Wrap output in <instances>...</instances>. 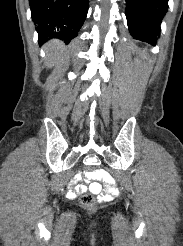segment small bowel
<instances>
[{
    "mask_svg": "<svg viewBox=\"0 0 183 246\" xmlns=\"http://www.w3.org/2000/svg\"><path fill=\"white\" fill-rule=\"evenodd\" d=\"M85 183H91L90 185L78 184L76 182L79 179H83V174H74L72 184L68 185L70 190L67 193V198H78V195L83 194L87 191H90L94 194L102 195L104 198H119V193L116 187L113 185L115 182L116 176L110 175V170H92L86 175ZM94 179H101V182H104V186L99 183H94ZM74 185V187H73Z\"/></svg>",
    "mask_w": 183,
    "mask_h": 246,
    "instance_id": "c3829d8e",
    "label": "small bowel"
}]
</instances>
